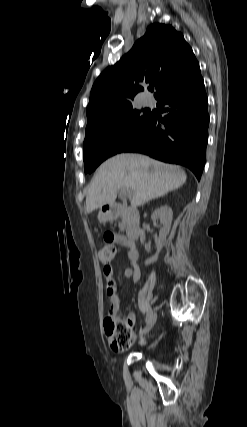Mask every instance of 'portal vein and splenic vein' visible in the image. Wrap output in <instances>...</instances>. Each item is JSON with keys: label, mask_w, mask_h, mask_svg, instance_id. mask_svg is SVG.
Instances as JSON below:
<instances>
[{"label": "portal vein and splenic vein", "mask_w": 247, "mask_h": 427, "mask_svg": "<svg viewBox=\"0 0 247 427\" xmlns=\"http://www.w3.org/2000/svg\"><path fill=\"white\" fill-rule=\"evenodd\" d=\"M121 192L124 196L130 197L132 195V192L130 190H122Z\"/></svg>", "instance_id": "18ae733b"}]
</instances>
